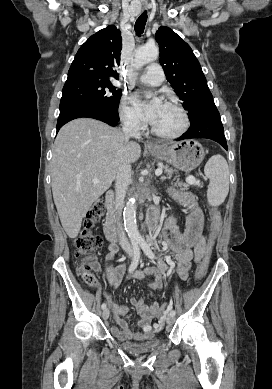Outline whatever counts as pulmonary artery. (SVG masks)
<instances>
[{
  "label": "pulmonary artery",
  "mask_w": 272,
  "mask_h": 389,
  "mask_svg": "<svg viewBox=\"0 0 272 389\" xmlns=\"http://www.w3.org/2000/svg\"><path fill=\"white\" fill-rule=\"evenodd\" d=\"M140 80L148 85L157 86L164 81V72L158 63H151L141 75Z\"/></svg>",
  "instance_id": "e3ab8cb5"
}]
</instances>
